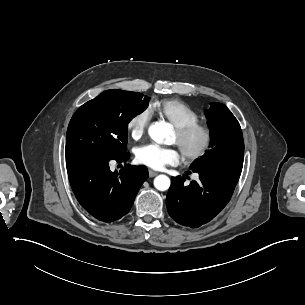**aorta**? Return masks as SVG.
<instances>
[{
  "instance_id": "1",
  "label": "aorta",
  "mask_w": 305,
  "mask_h": 305,
  "mask_svg": "<svg viewBox=\"0 0 305 305\" xmlns=\"http://www.w3.org/2000/svg\"><path fill=\"white\" fill-rule=\"evenodd\" d=\"M148 134L152 140L159 144H164L172 134L171 126L165 122L152 123L148 129ZM170 179L166 175H158L154 179V186L159 191H166L170 187Z\"/></svg>"
}]
</instances>
